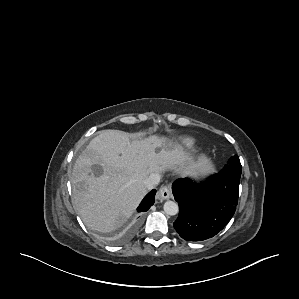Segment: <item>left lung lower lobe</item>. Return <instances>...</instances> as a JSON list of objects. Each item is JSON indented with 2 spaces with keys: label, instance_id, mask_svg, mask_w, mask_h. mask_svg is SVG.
Instances as JSON below:
<instances>
[{
  "label": "left lung lower lobe",
  "instance_id": "obj_1",
  "mask_svg": "<svg viewBox=\"0 0 299 299\" xmlns=\"http://www.w3.org/2000/svg\"><path fill=\"white\" fill-rule=\"evenodd\" d=\"M240 176L219 172L204 183L177 179L172 184L179 204V217L173 226L187 241H202L215 236L230 221L238 203Z\"/></svg>",
  "mask_w": 299,
  "mask_h": 299
}]
</instances>
